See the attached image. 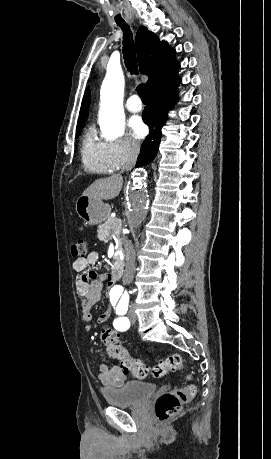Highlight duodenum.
Segmentation results:
<instances>
[{"mask_svg": "<svg viewBox=\"0 0 271 459\" xmlns=\"http://www.w3.org/2000/svg\"><path fill=\"white\" fill-rule=\"evenodd\" d=\"M124 272V266L122 262L117 261L111 271L110 279L112 282H117L122 278Z\"/></svg>", "mask_w": 271, "mask_h": 459, "instance_id": "obj_1", "label": "duodenum"}]
</instances>
